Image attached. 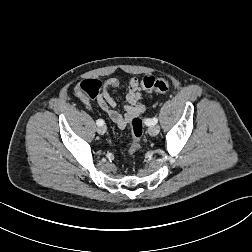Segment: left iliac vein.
I'll return each mask as SVG.
<instances>
[{"mask_svg": "<svg viewBox=\"0 0 252 252\" xmlns=\"http://www.w3.org/2000/svg\"><path fill=\"white\" fill-rule=\"evenodd\" d=\"M160 131V127L158 125H152L148 128V132L151 136H156Z\"/></svg>", "mask_w": 252, "mask_h": 252, "instance_id": "obj_1", "label": "left iliac vein"}]
</instances>
